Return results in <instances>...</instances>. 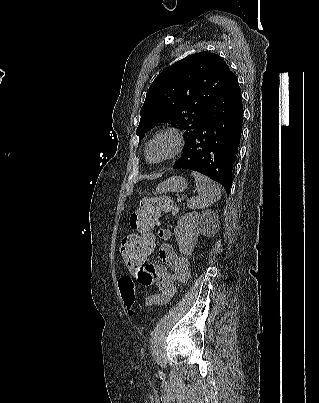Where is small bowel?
<instances>
[{
  "label": "small bowel",
  "mask_w": 319,
  "mask_h": 403,
  "mask_svg": "<svg viewBox=\"0 0 319 403\" xmlns=\"http://www.w3.org/2000/svg\"><path fill=\"white\" fill-rule=\"evenodd\" d=\"M159 239L163 242L158 248L160 262H152L145 267L138 277L140 286H151L156 282L159 292L150 294L145 303L147 306H160L167 304L176 293V282H184L189 276V260L179 254L167 243L171 233L167 229L159 231ZM130 238H133L131 236ZM155 247H152V252ZM141 268V265H138Z\"/></svg>",
  "instance_id": "obj_1"
}]
</instances>
